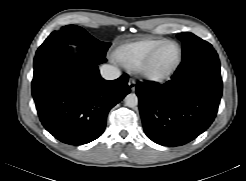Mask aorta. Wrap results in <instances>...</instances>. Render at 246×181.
<instances>
[{
  "label": "aorta",
  "instance_id": "762f6f07",
  "mask_svg": "<svg viewBox=\"0 0 246 181\" xmlns=\"http://www.w3.org/2000/svg\"><path fill=\"white\" fill-rule=\"evenodd\" d=\"M125 105L130 108H134L138 105V97L134 93L126 95L124 98Z\"/></svg>",
  "mask_w": 246,
  "mask_h": 181
}]
</instances>
